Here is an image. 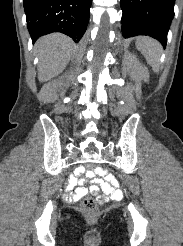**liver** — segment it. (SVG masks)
I'll return each mask as SVG.
<instances>
[{"instance_id":"1","label":"liver","mask_w":183,"mask_h":246,"mask_svg":"<svg viewBox=\"0 0 183 246\" xmlns=\"http://www.w3.org/2000/svg\"><path fill=\"white\" fill-rule=\"evenodd\" d=\"M73 41L63 34H50L35 44L38 57V79L46 82L59 75L71 59Z\"/></svg>"}]
</instances>
